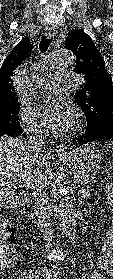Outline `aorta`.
I'll use <instances>...</instances> for the list:
<instances>
[{"label":"aorta","instance_id":"1","mask_svg":"<svg viewBox=\"0 0 113 279\" xmlns=\"http://www.w3.org/2000/svg\"><path fill=\"white\" fill-rule=\"evenodd\" d=\"M74 63L75 55L67 49L54 51L48 59V65L53 68L68 67L74 65ZM55 194L58 198V214L61 225L71 242H74L76 239V214L69 192L62 179L55 181Z\"/></svg>","mask_w":113,"mask_h":279}]
</instances>
